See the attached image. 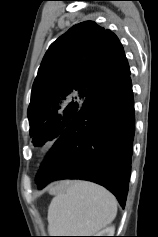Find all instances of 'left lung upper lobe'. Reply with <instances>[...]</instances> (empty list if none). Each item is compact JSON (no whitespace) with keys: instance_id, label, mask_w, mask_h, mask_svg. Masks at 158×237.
Segmentation results:
<instances>
[{"instance_id":"left-lung-upper-lobe-1","label":"left lung upper lobe","mask_w":158,"mask_h":237,"mask_svg":"<svg viewBox=\"0 0 158 237\" xmlns=\"http://www.w3.org/2000/svg\"><path fill=\"white\" fill-rule=\"evenodd\" d=\"M130 73L117 36L93 21L79 23L51 44L33 83L28 107L34 145L57 139L97 93ZM42 176L38 173L36 181Z\"/></svg>"}]
</instances>
